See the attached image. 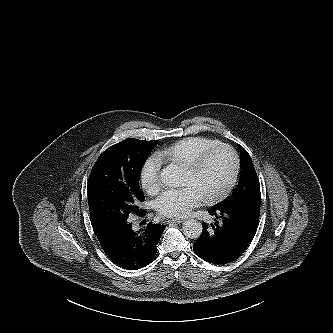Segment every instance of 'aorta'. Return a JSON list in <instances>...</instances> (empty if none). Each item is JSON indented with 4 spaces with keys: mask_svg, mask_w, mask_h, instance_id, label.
Returning <instances> with one entry per match:
<instances>
[{
    "mask_svg": "<svg viewBox=\"0 0 333 333\" xmlns=\"http://www.w3.org/2000/svg\"><path fill=\"white\" fill-rule=\"evenodd\" d=\"M162 183L169 186H177L181 183L180 170L170 164L160 172ZM183 234L190 239H197L202 233V224L196 219L186 220L182 226Z\"/></svg>",
    "mask_w": 333,
    "mask_h": 333,
    "instance_id": "obj_1",
    "label": "aorta"
}]
</instances>
